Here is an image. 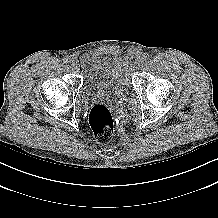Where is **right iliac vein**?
<instances>
[{
    "label": "right iliac vein",
    "instance_id": "1",
    "mask_svg": "<svg viewBox=\"0 0 218 218\" xmlns=\"http://www.w3.org/2000/svg\"><path fill=\"white\" fill-rule=\"evenodd\" d=\"M69 63L72 69H77L79 66L78 60L76 58H71Z\"/></svg>",
    "mask_w": 218,
    "mask_h": 218
}]
</instances>
